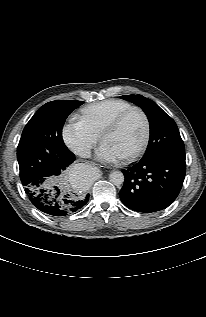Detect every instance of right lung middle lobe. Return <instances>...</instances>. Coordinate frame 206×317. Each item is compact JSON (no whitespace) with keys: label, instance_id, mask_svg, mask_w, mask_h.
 I'll return each instance as SVG.
<instances>
[{"label":"right lung middle lobe","instance_id":"dd1d6c3e","mask_svg":"<svg viewBox=\"0 0 206 317\" xmlns=\"http://www.w3.org/2000/svg\"><path fill=\"white\" fill-rule=\"evenodd\" d=\"M82 101L58 100L44 104L25 126L17 147L20 179L23 185L40 177L59 184L65 176L56 164L60 153L69 150L62 139V128L69 114Z\"/></svg>","mask_w":206,"mask_h":317}]
</instances>
